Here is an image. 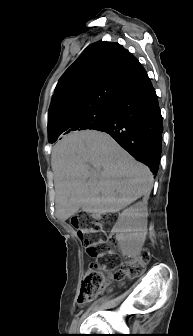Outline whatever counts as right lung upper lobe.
<instances>
[{"mask_svg":"<svg viewBox=\"0 0 193 336\" xmlns=\"http://www.w3.org/2000/svg\"><path fill=\"white\" fill-rule=\"evenodd\" d=\"M141 64L118 43L90 45L60 78L48 113L49 140L75 131L76 119L110 108Z\"/></svg>","mask_w":193,"mask_h":336,"instance_id":"right-lung-upper-lobe-1","label":"right lung upper lobe"}]
</instances>
